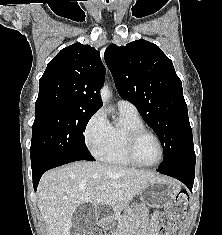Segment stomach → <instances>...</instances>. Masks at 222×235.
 Listing matches in <instances>:
<instances>
[{"mask_svg":"<svg viewBox=\"0 0 222 235\" xmlns=\"http://www.w3.org/2000/svg\"><path fill=\"white\" fill-rule=\"evenodd\" d=\"M180 185L177 181L160 178L151 182L144 190L140 192V203L126 202L123 204L125 217H131L134 221L133 229L129 231L130 235H149L146 231L140 229L142 220V210L149 208H160L172 202L179 194ZM121 209V210H122ZM116 216H105L99 220V225L104 229H113L116 225Z\"/></svg>","mask_w":222,"mask_h":235,"instance_id":"0dacf381","label":"stomach"}]
</instances>
